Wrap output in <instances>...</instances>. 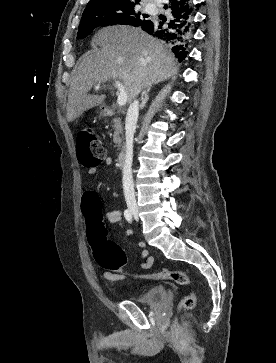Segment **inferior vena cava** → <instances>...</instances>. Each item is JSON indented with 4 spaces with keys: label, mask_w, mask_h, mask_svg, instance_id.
I'll list each match as a JSON object with an SVG mask.
<instances>
[{
    "label": "inferior vena cava",
    "mask_w": 276,
    "mask_h": 363,
    "mask_svg": "<svg viewBox=\"0 0 276 363\" xmlns=\"http://www.w3.org/2000/svg\"><path fill=\"white\" fill-rule=\"evenodd\" d=\"M139 116V101L134 100L130 104L125 121L126 130V154L123 166V190L127 206L136 207V198L134 183L132 177V159H133V138L136 130V124Z\"/></svg>",
    "instance_id": "602c4592"
}]
</instances>
